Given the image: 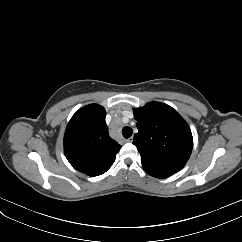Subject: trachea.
Returning a JSON list of instances; mask_svg holds the SVG:
<instances>
[{
  "label": "trachea",
  "instance_id": "3493384b",
  "mask_svg": "<svg viewBox=\"0 0 242 242\" xmlns=\"http://www.w3.org/2000/svg\"><path fill=\"white\" fill-rule=\"evenodd\" d=\"M133 133V130L130 127H124L122 129V134L124 138H130Z\"/></svg>",
  "mask_w": 242,
  "mask_h": 242
}]
</instances>
